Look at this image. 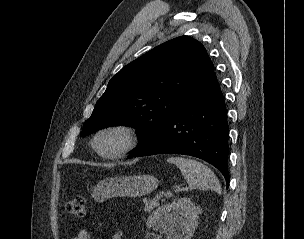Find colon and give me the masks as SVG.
<instances>
[{
  "label": "colon",
  "mask_w": 304,
  "mask_h": 239,
  "mask_svg": "<svg viewBox=\"0 0 304 239\" xmlns=\"http://www.w3.org/2000/svg\"><path fill=\"white\" fill-rule=\"evenodd\" d=\"M66 211L74 217L82 218L86 213V199L83 196H77L66 203Z\"/></svg>",
  "instance_id": "5ec220e1"
}]
</instances>
